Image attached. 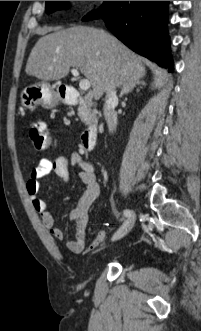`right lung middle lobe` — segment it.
Wrapping results in <instances>:
<instances>
[{"mask_svg":"<svg viewBox=\"0 0 201 331\" xmlns=\"http://www.w3.org/2000/svg\"><path fill=\"white\" fill-rule=\"evenodd\" d=\"M68 6V1H46V12L51 13L55 10L63 9Z\"/></svg>","mask_w":201,"mask_h":331,"instance_id":"right-lung-middle-lobe-1","label":"right lung middle lobe"}]
</instances>
